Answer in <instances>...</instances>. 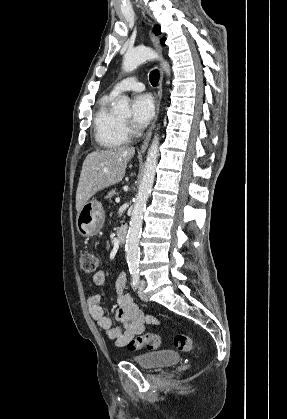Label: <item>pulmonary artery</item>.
Returning <instances> with one entry per match:
<instances>
[{
    "label": "pulmonary artery",
    "instance_id": "obj_1",
    "mask_svg": "<svg viewBox=\"0 0 287 419\" xmlns=\"http://www.w3.org/2000/svg\"><path fill=\"white\" fill-rule=\"evenodd\" d=\"M145 86L142 82L136 81L134 78H126L118 82L112 89L111 95L117 96L125 91H142Z\"/></svg>",
    "mask_w": 287,
    "mask_h": 419
}]
</instances>
